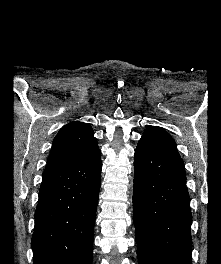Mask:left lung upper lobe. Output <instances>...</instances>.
<instances>
[{
  "instance_id": "left-lung-upper-lobe-1",
  "label": "left lung upper lobe",
  "mask_w": 221,
  "mask_h": 264,
  "mask_svg": "<svg viewBox=\"0 0 221 264\" xmlns=\"http://www.w3.org/2000/svg\"><path fill=\"white\" fill-rule=\"evenodd\" d=\"M140 141L152 143L168 153L179 156L175 141L160 127L150 126L147 128Z\"/></svg>"
}]
</instances>
